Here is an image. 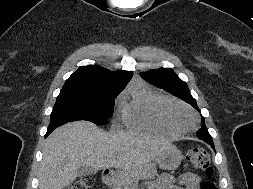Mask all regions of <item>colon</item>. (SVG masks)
<instances>
[{
    "label": "colon",
    "mask_w": 253,
    "mask_h": 189,
    "mask_svg": "<svg viewBox=\"0 0 253 189\" xmlns=\"http://www.w3.org/2000/svg\"><path fill=\"white\" fill-rule=\"evenodd\" d=\"M187 162L192 168L204 171L208 177L203 182L201 189H216L215 183L210 179L213 175V169L207 150L201 147L192 148L187 154ZM66 189H92V178L82 177L71 183Z\"/></svg>",
    "instance_id": "1"
}]
</instances>
